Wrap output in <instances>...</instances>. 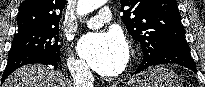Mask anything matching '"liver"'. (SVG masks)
Instances as JSON below:
<instances>
[{
  "mask_svg": "<svg viewBox=\"0 0 205 87\" xmlns=\"http://www.w3.org/2000/svg\"><path fill=\"white\" fill-rule=\"evenodd\" d=\"M3 87H74L73 83L51 66L32 64L13 72Z\"/></svg>",
  "mask_w": 205,
  "mask_h": 87,
  "instance_id": "6515ba94",
  "label": "liver"
}]
</instances>
